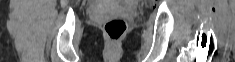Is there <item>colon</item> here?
<instances>
[{
  "label": "colon",
  "mask_w": 235,
  "mask_h": 62,
  "mask_svg": "<svg viewBox=\"0 0 235 62\" xmlns=\"http://www.w3.org/2000/svg\"><path fill=\"white\" fill-rule=\"evenodd\" d=\"M103 29L109 42L116 44L125 34L127 24L122 18H113L105 22Z\"/></svg>",
  "instance_id": "5ec220e1"
}]
</instances>
